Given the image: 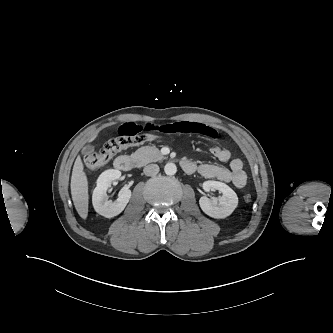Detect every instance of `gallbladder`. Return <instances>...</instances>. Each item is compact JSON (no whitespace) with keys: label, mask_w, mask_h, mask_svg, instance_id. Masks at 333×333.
Here are the masks:
<instances>
[{"label":"gallbladder","mask_w":333,"mask_h":333,"mask_svg":"<svg viewBox=\"0 0 333 333\" xmlns=\"http://www.w3.org/2000/svg\"><path fill=\"white\" fill-rule=\"evenodd\" d=\"M92 151H94V148L92 146H86L82 150L83 154H85V155L91 153Z\"/></svg>","instance_id":"bac80fb5"}]
</instances>
